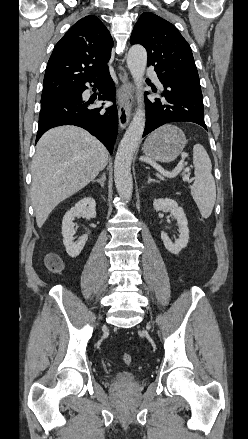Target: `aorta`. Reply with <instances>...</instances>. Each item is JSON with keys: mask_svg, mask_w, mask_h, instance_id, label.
Here are the masks:
<instances>
[{"mask_svg": "<svg viewBox=\"0 0 248 439\" xmlns=\"http://www.w3.org/2000/svg\"><path fill=\"white\" fill-rule=\"evenodd\" d=\"M127 65L137 89L144 84V73L147 65V52L141 45H133L127 55ZM138 108L129 124L116 153L114 161V180L119 196L129 200L133 192L131 162L140 143L145 128V111L142 107L143 95H137Z\"/></svg>", "mask_w": 248, "mask_h": 439, "instance_id": "obj_1", "label": "aorta"}]
</instances>
